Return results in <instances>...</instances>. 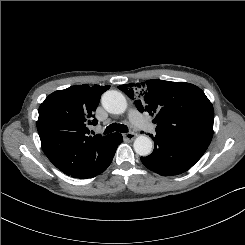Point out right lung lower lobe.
<instances>
[{
    "label": "right lung lower lobe",
    "mask_w": 245,
    "mask_h": 245,
    "mask_svg": "<svg viewBox=\"0 0 245 245\" xmlns=\"http://www.w3.org/2000/svg\"><path fill=\"white\" fill-rule=\"evenodd\" d=\"M122 135L119 133H113V136L111 138V142H110V146L107 150V152L105 153L104 158L102 159V162L97 166V168L91 172L89 174V176L85 177V178H92L95 177L97 175H99L100 173H102L104 170L107 169V167L110 165L114 154L116 152V149L118 147V145L122 142ZM85 178H81V179H85Z\"/></svg>",
    "instance_id": "obj_1"
}]
</instances>
